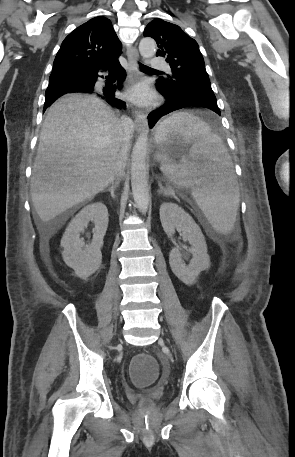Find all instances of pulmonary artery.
I'll use <instances>...</instances> for the list:
<instances>
[{
	"instance_id": "1",
	"label": "pulmonary artery",
	"mask_w": 295,
	"mask_h": 457,
	"mask_svg": "<svg viewBox=\"0 0 295 457\" xmlns=\"http://www.w3.org/2000/svg\"><path fill=\"white\" fill-rule=\"evenodd\" d=\"M150 65H151V68H153L155 70H157V69L167 70L168 69L166 62L160 57H153L150 60Z\"/></svg>"
}]
</instances>
